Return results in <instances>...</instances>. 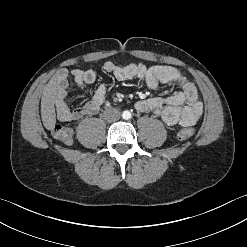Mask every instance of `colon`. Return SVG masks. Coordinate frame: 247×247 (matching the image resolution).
I'll use <instances>...</instances> for the list:
<instances>
[{"instance_id": "5ec220e1", "label": "colon", "mask_w": 247, "mask_h": 247, "mask_svg": "<svg viewBox=\"0 0 247 247\" xmlns=\"http://www.w3.org/2000/svg\"><path fill=\"white\" fill-rule=\"evenodd\" d=\"M195 133V130L191 127L181 129L177 136L179 139L184 140L192 137ZM53 135L58 140L64 143H71L72 141V130L69 127L57 125L53 129Z\"/></svg>"}]
</instances>
